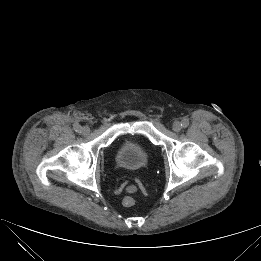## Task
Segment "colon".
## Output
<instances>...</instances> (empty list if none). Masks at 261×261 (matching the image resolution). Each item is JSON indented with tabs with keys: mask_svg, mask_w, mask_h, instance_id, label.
<instances>
[{
	"mask_svg": "<svg viewBox=\"0 0 261 261\" xmlns=\"http://www.w3.org/2000/svg\"><path fill=\"white\" fill-rule=\"evenodd\" d=\"M122 204L125 206V207H131L135 204V199L134 197L130 196V195H127L123 198L122 200Z\"/></svg>",
	"mask_w": 261,
	"mask_h": 261,
	"instance_id": "obj_1",
	"label": "colon"
}]
</instances>
